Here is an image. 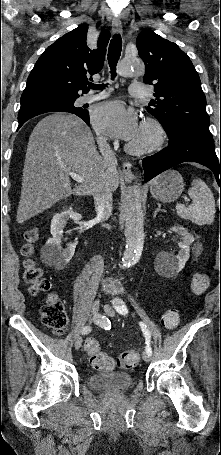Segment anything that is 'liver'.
I'll list each match as a JSON object with an SVG mask.
<instances>
[{"mask_svg": "<svg viewBox=\"0 0 221 455\" xmlns=\"http://www.w3.org/2000/svg\"><path fill=\"white\" fill-rule=\"evenodd\" d=\"M69 171L82 176L84 182L72 189ZM98 186L116 191L119 173L105 167L90 128L74 114L48 115L29 137L17 222L29 220L72 194H94Z\"/></svg>", "mask_w": 221, "mask_h": 455, "instance_id": "6515ba94", "label": "liver"}]
</instances>
